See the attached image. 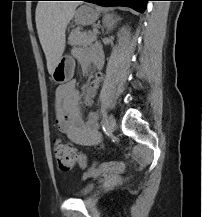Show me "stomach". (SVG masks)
I'll return each instance as SVG.
<instances>
[{
	"label": "stomach",
	"mask_w": 202,
	"mask_h": 217,
	"mask_svg": "<svg viewBox=\"0 0 202 217\" xmlns=\"http://www.w3.org/2000/svg\"><path fill=\"white\" fill-rule=\"evenodd\" d=\"M98 12L92 6L84 5L79 7L74 13V21L78 25H91L98 19ZM74 61L72 58L62 57L55 66L52 79L59 84H63L72 79L74 74Z\"/></svg>",
	"instance_id": "obj_1"
}]
</instances>
